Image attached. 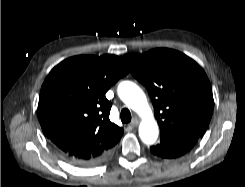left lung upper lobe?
Segmentation results:
<instances>
[{
    "mask_svg": "<svg viewBox=\"0 0 245 187\" xmlns=\"http://www.w3.org/2000/svg\"><path fill=\"white\" fill-rule=\"evenodd\" d=\"M124 61L150 94L161 136L204 134L213 113V95L207 75L194 60L160 48L126 55Z\"/></svg>",
    "mask_w": 245,
    "mask_h": 187,
    "instance_id": "left-lung-upper-lobe-1",
    "label": "left lung upper lobe"
}]
</instances>
